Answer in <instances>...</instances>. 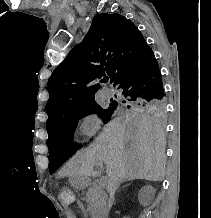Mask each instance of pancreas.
I'll return each instance as SVG.
<instances>
[{"label": "pancreas", "instance_id": "pancreas-1", "mask_svg": "<svg viewBox=\"0 0 211 218\" xmlns=\"http://www.w3.org/2000/svg\"><path fill=\"white\" fill-rule=\"evenodd\" d=\"M101 189V186H92L86 194L87 202L89 204L88 210L92 218H97L99 214H102V208L105 206V196Z\"/></svg>", "mask_w": 211, "mask_h": 218}]
</instances>
